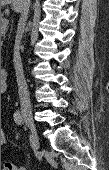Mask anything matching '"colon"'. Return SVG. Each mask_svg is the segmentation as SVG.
Listing matches in <instances>:
<instances>
[{"label": "colon", "mask_w": 109, "mask_h": 170, "mask_svg": "<svg viewBox=\"0 0 109 170\" xmlns=\"http://www.w3.org/2000/svg\"><path fill=\"white\" fill-rule=\"evenodd\" d=\"M4 170H26L25 167H22V166H16L14 164H10V163H6L4 165Z\"/></svg>", "instance_id": "1"}]
</instances>
